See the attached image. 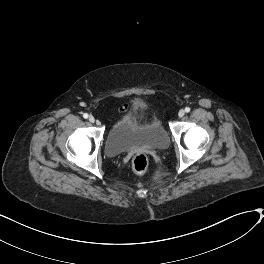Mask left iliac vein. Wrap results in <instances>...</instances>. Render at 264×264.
Returning <instances> with one entry per match:
<instances>
[{
  "mask_svg": "<svg viewBox=\"0 0 264 264\" xmlns=\"http://www.w3.org/2000/svg\"><path fill=\"white\" fill-rule=\"evenodd\" d=\"M184 114H185V111L182 110V109L178 112V116H179V117H183Z\"/></svg>",
  "mask_w": 264,
  "mask_h": 264,
  "instance_id": "4c4485c4",
  "label": "left iliac vein"
}]
</instances>
